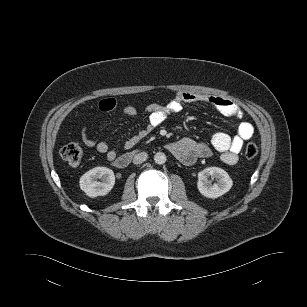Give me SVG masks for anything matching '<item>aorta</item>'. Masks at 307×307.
I'll return each instance as SVG.
<instances>
[{
	"label": "aorta",
	"instance_id": "762f6f07",
	"mask_svg": "<svg viewBox=\"0 0 307 307\" xmlns=\"http://www.w3.org/2000/svg\"><path fill=\"white\" fill-rule=\"evenodd\" d=\"M166 155L163 152H157L154 155V161L156 164L162 165L166 162Z\"/></svg>",
	"mask_w": 307,
	"mask_h": 307
}]
</instances>
